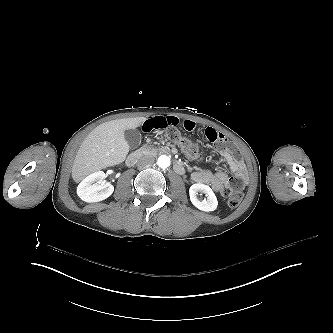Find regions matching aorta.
I'll use <instances>...</instances> for the list:
<instances>
[{
  "mask_svg": "<svg viewBox=\"0 0 333 333\" xmlns=\"http://www.w3.org/2000/svg\"><path fill=\"white\" fill-rule=\"evenodd\" d=\"M157 163L160 168L166 169L170 166V158L166 155H162L158 158Z\"/></svg>",
  "mask_w": 333,
  "mask_h": 333,
  "instance_id": "762f6f07",
  "label": "aorta"
}]
</instances>
